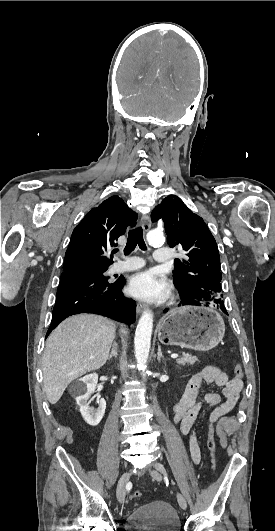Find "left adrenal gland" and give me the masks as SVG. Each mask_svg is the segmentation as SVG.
Wrapping results in <instances>:
<instances>
[{"label":"left adrenal gland","instance_id":"left-adrenal-gland-1","mask_svg":"<svg viewBox=\"0 0 275 531\" xmlns=\"http://www.w3.org/2000/svg\"><path fill=\"white\" fill-rule=\"evenodd\" d=\"M161 359H164L163 355H162V351H161V347L158 343V353H157V361L158 363H160Z\"/></svg>","mask_w":275,"mask_h":531}]
</instances>
